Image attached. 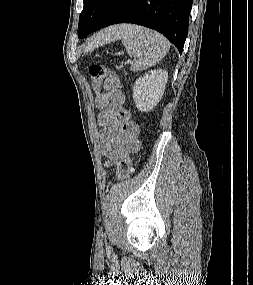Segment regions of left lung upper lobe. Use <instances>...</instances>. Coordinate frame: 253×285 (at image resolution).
Segmentation results:
<instances>
[{"mask_svg": "<svg viewBox=\"0 0 253 285\" xmlns=\"http://www.w3.org/2000/svg\"><path fill=\"white\" fill-rule=\"evenodd\" d=\"M84 7L79 17L78 35L86 37L104 17L113 0H83Z\"/></svg>", "mask_w": 253, "mask_h": 285, "instance_id": "obj_1", "label": "left lung upper lobe"}]
</instances>
